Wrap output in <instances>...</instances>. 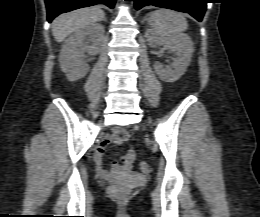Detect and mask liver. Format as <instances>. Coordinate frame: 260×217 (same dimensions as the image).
<instances>
[{"label": "liver", "mask_w": 260, "mask_h": 217, "mask_svg": "<svg viewBox=\"0 0 260 217\" xmlns=\"http://www.w3.org/2000/svg\"><path fill=\"white\" fill-rule=\"evenodd\" d=\"M105 18L99 7L83 8L58 16L52 23V34L57 42H62L78 29Z\"/></svg>", "instance_id": "obj_1"}]
</instances>
